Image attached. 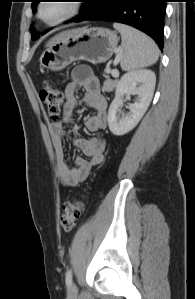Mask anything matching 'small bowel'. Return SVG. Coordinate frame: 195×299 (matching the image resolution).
I'll use <instances>...</instances> for the list:
<instances>
[{
  "label": "small bowel",
  "instance_id": "c3829d8e",
  "mask_svg": "<svg viewBox=\"0 0 195 299\" xmlns=\"http://www.w3.org/2000/svg\"><path fill=\"white\" fill-rule=\"evenodd\" d=\"M71 82L65 87V104L63 107V118L50 124V132L58 160V174L61 182L66 187H74L86 181L92 170L99 166L104 160L107 149V141L103 137L80 138L69 137L73 144L88 157H75L76 168L68 166L64 159V141L68 138L65 124L70 122L74 111L81 105L94 109L95 113L85 120V128L89 132H97L106 127L107 124V100L103 95L98 78L90 68L78 66L71 73ZM84 90L81 100L76 97L77 89Z\"/></svg>",
  "mask_w": 195,
  "mask_h": 299
}]
</instances>
